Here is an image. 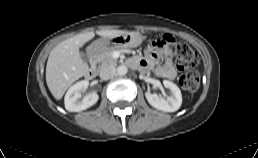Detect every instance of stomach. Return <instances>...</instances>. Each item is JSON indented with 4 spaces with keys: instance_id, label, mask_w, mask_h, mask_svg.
<instances>
[{
    "instance_id": "stomach-1",
    "label": "stomach",
    "mask_w": 258,
    "mask_h": 158,
    "mask_svg": "<svg viewBox=\"0 0 258 158\" xmlns=\"http://www.w3.org/2000/svg\"><path fill=\"white\" fill-rule=\"evenodd\" d=\"M144 37L139 32H127L110 38L95 40L91 46L97 52H105L110 49L135 48L138 47Z\"/></svg>"
}]
</instances>
